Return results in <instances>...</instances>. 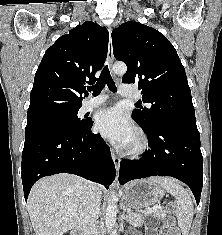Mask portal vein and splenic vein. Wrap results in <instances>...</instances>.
<instances>
[{"label": "portal vein and splenic vein", "instance_id": "1", "mask_svg": "<svg viewBox=\"0 0 222 235\" xmlns=\"http://www.w3.org/2000/svg\"><path fill=\"white\" fill-rule=\"evenodd\" d=\"M160 209H161L160 206L155 205V206H153L152 208H150V209H148V210H146V211H141V212H142V213H146V214H151V213H153V212H155V211H157V210H160Z\"/></svg>", "mask_w": 222, "mask_h": 235}]
</instances>
